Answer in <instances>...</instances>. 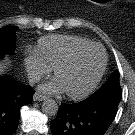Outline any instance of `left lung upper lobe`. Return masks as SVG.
<instances>
[{
	"instance_id": "5c2ea615",
	"label": "left lung upper lobe",
	"mask_w": 135,
	"mask_h": 135,
	"mask_svg": "<svg viewBox=\"0 0 135 135\" xmlns=\"http://www.w3.org/2000/svg\"><path fill=\"white\" fill-rule=\"evenodd\" d=\"M112 88L120 89L119 72H114L112 76L109 78V80L99 90Z\"/></svg>"
}]
</instances>
